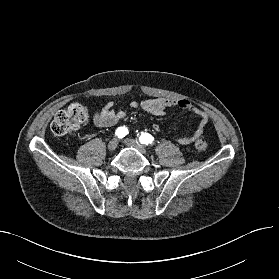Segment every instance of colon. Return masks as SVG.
Wrapping results in <instances>:
<instances>
[{
  "label": "colon",
  "instance_id": "5ec220e1",
  "mask_svg": "<svg viewBox=\"0 0 279 279\" xmlns=\"http://www.w3.org/2000/svg\"><path fill=\"white\" fill-rule=\"evenodd\" d=\"M87 117L86 107L79 102H73L54 116L50 126L51 131L56 136L72 134L79 130ZM195 148L200 152L205 151L208 143L205 139L199 138L195 143Z\"/></svg>",
  "mask_w": 279,
  "mask_h": 279
}]
</instances>
